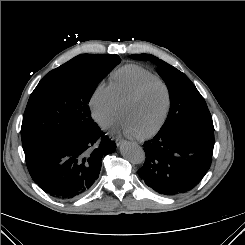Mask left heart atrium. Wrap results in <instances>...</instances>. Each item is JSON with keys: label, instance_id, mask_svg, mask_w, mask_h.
<instances>
[{"label": "left heart atrium", "instance_id": "39dd6f15", "mask_svg": "<svg viewBox=\"0 0 245 245\" xmlns=\"http://www.w3.org/2000/svg\"><path fill=\"white\" fill-rule=\"evenodd\" d=\"M116 127L121 128L127 135L129 136H137L138 134L128 125L126 120L122 118L120 121V124H118Z\"/></svg>", "mask_w": 245, "mask_h": 245}]
</instances>
